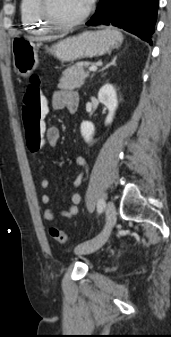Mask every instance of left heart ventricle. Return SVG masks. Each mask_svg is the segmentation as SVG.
<instances>
[{
    "label": "left heart ventricle",
    "instance_id": "obj_1",
    "mask_svg": "<svg viewBox=\"0 0 171 337\" xmlns=\"http://www.w3.org/2000/svg\"><path fill=\"white\" fill-rule=\"evenodd\" d=\"M88 7L85 0H52V10L56 18L71 20L82 14Z\"/></svg>",
    "mask_w": 171,
    "mask_h": 337
}]
</instances>
